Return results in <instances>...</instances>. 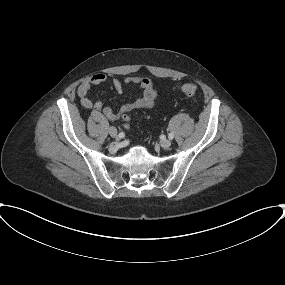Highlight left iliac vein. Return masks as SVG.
<instances>
[{
    "label": "left iliac vein",
    "mask_w": 285,
    "mask_h": 285,
    "mask_svg": "<svg viewBox=\"0 0 285 285\" xmlns=\"http://www.w3.org/2000/svg\"><path fill=\"white\" fill-rule=\"evenodd\" d=\"M160 146L162 147V148H169L170 146H171V140H169V139H164V140H162L161 142H160Z\"/></svg>",
    "instance_id": "4c4485c4"
}]
</instances>
